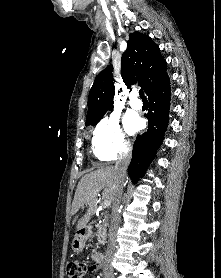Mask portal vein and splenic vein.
I'll list each match as a JSON object with an SVG mask.
<instances>
[{
  "instance_id": "portal-vein-and-splenic-vein-1",
  "label": "portal vein and splenic vein",
  "mask_w": 221,
  "mask_h": 278,
  "mask_svg": "<svg viewBox=\"0 0 221 278\" xmlns=\"http://www.w3.org/2000/svg\"><path fill=\"white\" fill-rule=\"evenodd\" d=\"M110 204H111V202H110L109 200H104V201H102V203H101V205H102L103 208L109 207Z\"/></svg>"
}]
</instances>
